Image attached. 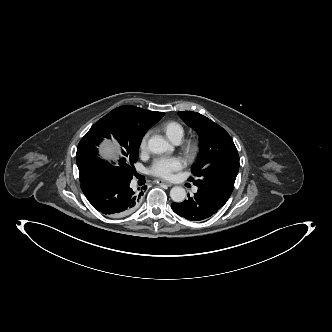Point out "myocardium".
<instances>
[{
  "label": "myocardium",
  "mask_w": 332,
  "mask_h": 332,
  "mask_svg": "<svg viewBox=\"0 0 332 332\" xmlns=\"http://www.w3.org/2000/svg\"><path fill=\"white\" fill-rule=\"evenodd\" d=\"M200 141L197 139L187 140L182 145V152L188 159H194L200 152Z\"/></svg>",
  "instance_id": "myocardium-1"
}]
</instances>
